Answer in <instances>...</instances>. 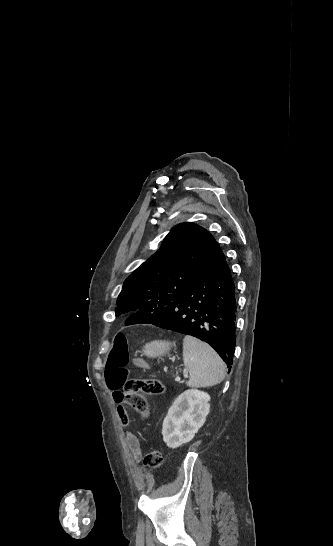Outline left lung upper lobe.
I'll return each instance as SVG.
<instances>
[{"instance_id":"obj_1","label":"left lung upper lobe","mask_w":333,"mask_h":546,"mask_svg":"<svg viewBox=\"0 0 333 546\" xmlns=\"http://www.w3.org/2000/svg\"><path fill=\"white\" fill-rule=\"evenodd\" d=\"M215 242L208 231L190 222L172 228L160 249L125 280L116 316L138 310L144 322H154L194 281Z\"/></svg>"}]
</instances>
